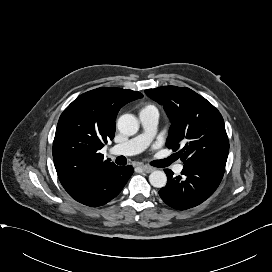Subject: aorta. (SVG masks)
Wrapping results in <instances>:
<instances>
[{
    "instance_id": "762f6f07",
    "label": "aorta",
    "mask_w": 272,
    "mask_h": 272,
    "mask_svg": "<svg viewBox=\"0 0 272 272\" xmlns=\"http://www.w3.org/2000/svg\"><path fill=\"white\" fill-rule=\"evenodd\" d=\"M117 127L123 135L132 136L139 130V121L132 114H124L118 119ZM149 182L153 187L162 188L167 183V176L163 171L156 170L149 175Z\"/></svg>"
}]
</instances>
